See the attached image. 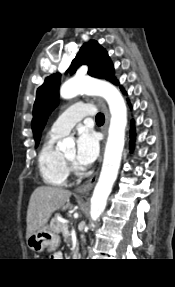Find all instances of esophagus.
Returning a JSON list of instances; mask_svg holds the SVG:
<instances>
[{"instance_id": "34e87169", "label": "esophagus", "mask_w": 175, "mask_h": 287, "mask_svg": "<svg viewBox=\"0 0 175 287\" xmlns=\"http://www.w3.org/2000/svg\"><path fill=\"white\" fill-rule=\"evenodd\" d=\"M93 102H95L103 111L104 116H105V123L102 127V132L104 133L105 139L107 135V128L109 124V111L108 108L105 104V102L98 97H93ZM101 161V159H100ZM99 174V169H97L82 185H80L76 189V193L81 194V195H86L89 193V191L93 188L94 184L96 183L97 177Z\"/></svg>"}]
</instances>
